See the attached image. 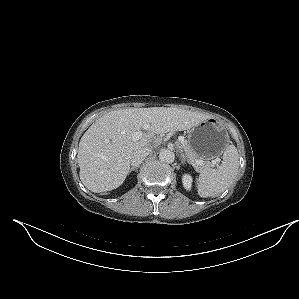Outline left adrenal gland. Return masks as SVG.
Listing matches in <instances>:
<instances>
[{
	"label": "left adrenal gland",
	"mask_w": 299,
	"mask_h": 299,
	"mask_svg": "<svg viewBox=\"0 0 299 299\" xmlns=\"http://www.w3.org/2000/svg\"><path fill=\"white\" fill-rule=\"evenodd\" d=\"M180 158H181V163L183 165L186 163V161L188 162V164H191V162L188 159H186V156L183 153H181Z\"/></svg>",
	"instance_id": "a2214340"
}]
</instances>
